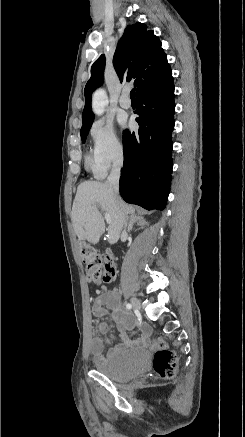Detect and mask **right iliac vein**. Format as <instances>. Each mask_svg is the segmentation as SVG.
<instances>
[{
	"instance_id": "1",
	"label": "right iliac vein",
	"mask_w": 245,
	"mask_h": 437,
	"mask_svg": "<svg viewBox=\"0 0 245 437\" xmlns=\"http://www.w3.org/2000/svg\"><path fill=\"white\" fill-rule=\"evenodd\" d=\"M131 304H132V306H133L136 310H140V308H141V303H140V301H139L136 297H132V298H131Z\"/></svg>"
}]
</instances>
